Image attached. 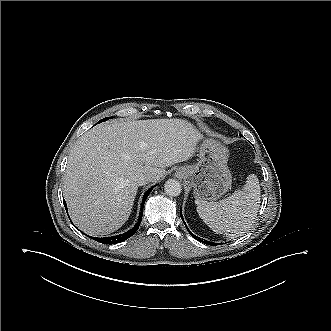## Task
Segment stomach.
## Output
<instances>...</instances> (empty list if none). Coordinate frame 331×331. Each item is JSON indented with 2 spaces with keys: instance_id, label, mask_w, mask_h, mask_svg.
<instances>
[{
  "instance_id": "0dacf381",
  "label": "stomach",
  "mask_w": 331,
  "mask_h": 331,
  "mask_svg": "<svg viewBox=\"0 0 331 331\" xmlns=\"http://www.w3.org/2000/svg\"><path fill=\"white\" fill-rule=\"evenodd\" d=\"M228 149L214 139H205L199 148V162L176 169V175L193 188L197 201H215L231 187Z\"/></svg>"
}]
</instances>
